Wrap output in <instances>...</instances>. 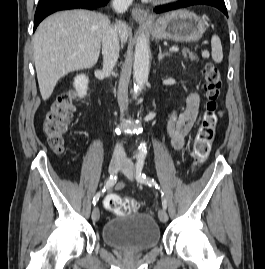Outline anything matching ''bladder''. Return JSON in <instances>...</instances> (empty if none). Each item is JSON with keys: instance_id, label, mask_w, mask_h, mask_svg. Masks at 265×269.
<instances>
[{"instance_id": "31cf9c89", "label": "bladder", "mask_w": 265, "mask_h": 269, "mask_svg": "<svg viewBox=\"0 0 265 269\" xmlns=\"http://www.w3.org/2000/svg\"><path fill=\"white\" fill-rule=\"evenodd\" d=\"M102 239L123 251H147L160 242V229L155 219L145 213L121 215L103 227Z\"/></svg>"}]
</instances>
